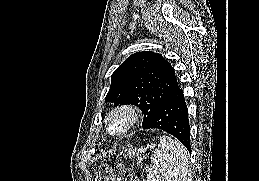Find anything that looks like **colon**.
<instances>
[{
	"mask_svg": "<svg viewBox=\"0 0 259 181\" xmlns=\"http://www.w3.org/2000/svg\"><path fill=\"white\" fill-rule=\"evenodd\" d=\"M96 181H136V177L131 169L122 164H102L96 170Z\"/></svg>",
	"mask_w": 259,
	"mask_h": 181,
	"instance_id": "colon-1",
	"label": "colon"
}]
</instances>
